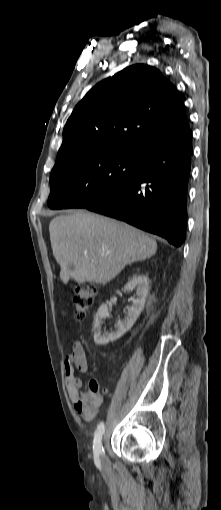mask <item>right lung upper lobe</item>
Returning a JSON list of instances; mask_svg holds the SVG:
<instances>
[{"instance_id":"right-lung-upper-lobe-1","label":"right lung upper lobe","mask_w":221,"mask_h":510,"mask_svg":"<svg viewBox=\"0 0 221 510\" xmlns=\"http://www.w3.org/2000/svg\"><path fill=\"white\" fill-rule=\"evenodd\" d=\"M189 129L184 103L171 82L154 67L132 65L99 82L76 105L56 164L107 148L146 149Z\"/></svg>"}]
</instances>
